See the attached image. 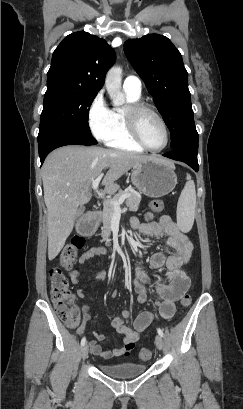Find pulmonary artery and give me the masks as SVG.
Here are the masks:
<instances>
[{
	"label": "pulmonary artery",
	"mask_w": 243,
	"mask_h": 409,
	"mask_svg": "<svg viewBox=\"0 0 243 409\" xmlns=\"http://www.w3.org/2000/svg\"><path fill=\"white\" fill-rule=\"evenodd\" d=\"M123 89L132 94L141 95L142 84L140 79L134 75L126 77L123 81Z\"/></svg>",
	"instance_id": "obj_1"
}]
</instances>
